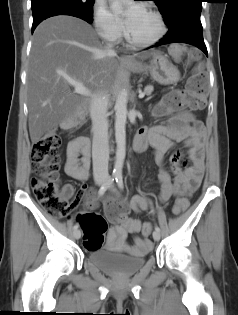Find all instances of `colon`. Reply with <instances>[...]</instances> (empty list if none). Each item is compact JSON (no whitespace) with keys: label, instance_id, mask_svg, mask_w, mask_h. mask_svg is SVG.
Wrapping results in <instances>:
<instances>
[{"label":"colon","instance_id":"1","mask_svg":"<svg viewBox=\"0 0 238 315\" xmlns=\"http://www.w3.org/2000/svg\"><path fill=\"white\" fill-rule=\"evenodd\" d=\"M169 53L177 62H181L188 54L193 60H197L199 54L196 51L188 53L187 49L178 44L170 45ZM206 103V75L201 66L189 80L185 90H172L156 108V113L161 114L177 109L199 110ZM60 137L55 129H49L33 145L31 159L36 176L31 180V188L36 200L46 211L55 215H66L70 210L68 201L59 195V153ZM189 206L187 198H179L173 206L174 214H181ZM107 211L110 217L122 223L128 218V206L119 200H110L107 203ZM83 229V244L87 250L97 249L103 243V237L107 230V222L103 216L94 213H81L76 218ZM152 225L144 223L142 234L150 236Z\"/></svg>","mask_w":238,"mask_h":315}]
</instances>
